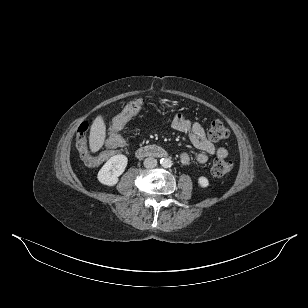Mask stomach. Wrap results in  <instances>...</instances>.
<instances>
[{"mask_svg": "<svg viewBox=\"0 0 308 308\" xmlns=\"http://www.w3.org/2000/svg\"><path fill=\"white\" fill-rule=\"evenodd\" d=\"M166 106L167 107H173V104L172 103H166Z\"/></svg>", "mask_w": 308, "mask_h": 308, "instance_id": "0dacf381", "label": "stomach"}]
</instances>
